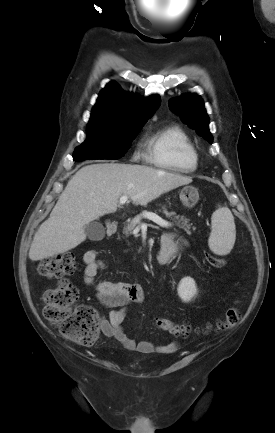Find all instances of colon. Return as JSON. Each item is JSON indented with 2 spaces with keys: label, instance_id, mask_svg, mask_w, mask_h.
I'll use <instances>...</instances> for the list:
<instances>
[{
  "label": "colon",
  "instance_id": "1",
  "mask_svg": "<svg viewBox=\"0 0 275 433\" xmlns=\"http://www.w3.org/2000/svg\"><path fill=\"white\" fill-rule=\"evenodd\" d=\"M206 260L213 267L221 268L225 265L223 260L209 253H206ZM76 267L75 257L70 254L43 259L39 262L36 268L39 276L59 279L55 287L47 289L42 295L43 314L46 320L57 325L67 338L82 345H91L99 336L97 311L89 305L75 307L78 291L64 278L73 274ZM240 317L238 306H231L215 323L214 329L216 331L231 329L238 323ZM156 323L161 330L176 337H187L197 330L192 325L178 323L168 318H159ZM210 328L208 326L206 329Z\"/></svg>",
  "mask_w": 275,
  "mask_h": 433
}]
</instances>
